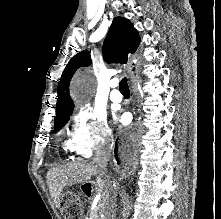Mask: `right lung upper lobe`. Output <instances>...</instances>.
Instances as JSON below:
<instances>
[{"instance_id":"obj_1","label":"right lung upper lobe","mask_w":221,"mask_h":219,"mask_svg":"<svg viewBox=\"0 0 221 219\" xmlns=\"http://www.w3.org/2000/svg\"><path fill=\"white\" fill-rule=\"evenodd\" d=\"M140 43V38L132 23L123 17H115L103 45V55L108 63H126L128 53H134ZM91 64L88 51L76 54L67 64L58 84L56 117L64 115L74 108L69 95V83L75 71ZM55 117V118H56Z\"/></svg>"}]
</instances>
